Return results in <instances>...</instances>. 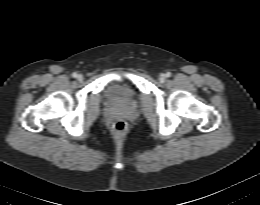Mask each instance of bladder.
<instances>
[{"label":"bladder","mask_w":260,"mask_h":205,"mask_svg":"<svg viewBox=\"0 0 260 205\" xmlns=\"http://www.w3.org/2000/svg\"><path fill=\"white\" fill-rule=\"evenodd\" d=\"M105 100L110 105L130 106L137 102L136 89L126 82H115L109 85L104 92Z\"/></svg>","instance_id":"bladder-1"}]
</instances>
